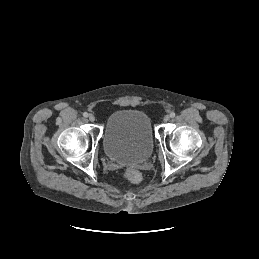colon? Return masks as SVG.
<instances>
[{"instance_id":"1","label":"colon","mask_w":259,"mask_h":259,"mask_svg":"<svg viewBox=\"0 0 259 259\" xmlns=\"http://www.w3.org/2000/svg\"><path fill=\"white\" fill-rule=\"evenodd\" d=\"M123 176L127 181L132 183H137L142 179L141 173L138 170L133 168L125 169Z\"/></svg>"}]
</instances>
